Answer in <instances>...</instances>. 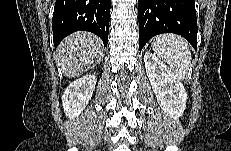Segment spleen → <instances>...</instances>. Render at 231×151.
Listing matches in <instances>:
<instances>
[{
  "label": "spleen",
  "mask_w": 231,
  "mask_h": 151,
  "mask_svg": "<svg viewBox=\"0 0 231 151\" xmlns=\"http://www.w3.org/2000/svg\"><path fill=\"white\" fill-rule=\"evenodd\" d=\"M154 53L165 61L178 79H184L191 64L187 41L176 34H163L152 40Z\"/></svg>",
  "instance_id": "obj_1"
}]
</instances>
